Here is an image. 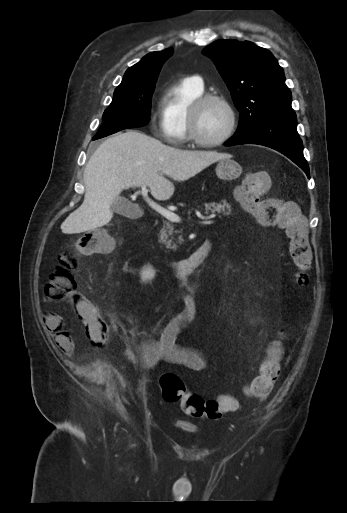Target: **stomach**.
<instances>
[{"instance_id": "0dacf381", "label": "stomach", "mask_w": 347, "mask_h": 513, "mask_svg": "<svg viewBox=\"0 0 347 513\" xmlns=\"http://www.w3.org/2000/svg\"><path fill=\"white\" fill-rule=\"evenodd\" d=\"M216 175L224 181H231L238 178L242 173L241 165L232 158H225L218 162L215 168Z\"/></svg>"}]
</instances>
